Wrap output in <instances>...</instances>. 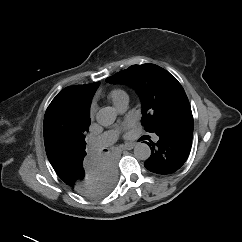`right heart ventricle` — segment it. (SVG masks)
Masks as SVG:
<instances>
[{"instance_id": "right-heart-ventricle-1", "label": "right heart ventricle", "mask_w": 242, "mask_h": 242, "mask_svg": "<svg viewBox=\"0 0 242 242\" xmlns=\"http://www.w3.org/2000/svg\"><path fill=\"white\" fill-rule=\"evenodd\" d=\"M126 97L127 94L121 89H113L109 93V98L112 100L114 105H116L122 98Z\"/></svg>"}]
</instances>
